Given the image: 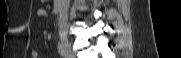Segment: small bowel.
<instances>
[{"instance_id": "1", "label": "small bowel", "mask_w": 181, "mask_h": 58, "mask_svg": "<svg viewBox=\"0 0 181 58\" xmlns=\"http://www.w3.org/2000/svg\"><path fill=\"white\" fill-rule=\"evenodd\" d=\"M47 13H48V7H47V6H44V7L40 8V9L38 10V12H37L38 16H39V17H42V18L46 17V16H47ZM38 55H39V53H38V51H37L36 49H33V50L31 51V56H32V58H37Z\"/></svg>"}]
</instances>
